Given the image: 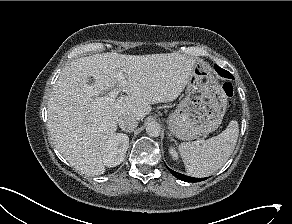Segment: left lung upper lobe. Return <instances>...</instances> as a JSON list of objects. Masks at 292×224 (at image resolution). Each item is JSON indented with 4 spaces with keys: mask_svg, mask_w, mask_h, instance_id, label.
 Here are the masks:
<instances>
[{
    "mask_svg": "<svg viewBox=\"0 0 292 224\" xmlns=\"http://www.w3.org/2000/svg\"><path fill=\"white\" fill-rule=\"evenodd\" d=\"M225 73V75L227 74V71H223Z\"/></svg>",
    "mask_w": 292,
    "mask_h": 224,
    "instance_id": "left-lung-upper-lobe-1",
    "label": "left lung upper lobe"
}]
</instances>
